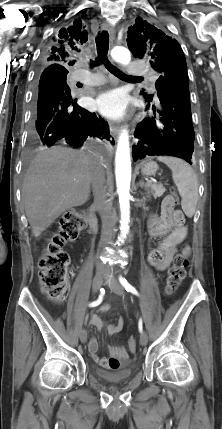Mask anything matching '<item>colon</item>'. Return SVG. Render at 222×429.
I'll return each instance as SVG.
<instances>
[{
  "label": "colon",
  "instance_id": "5ec220e1",
  "mask_svg": "<svg viewBox=\"0 0 222 429\" xmlns=\"http://www.w3.org/2000/svg\"><path fill=\"white\" fill-rule=\"evenodd\" d=\"M178 202L177 194L167 196L164 200L166 204L175 205ZM85 223L86 218L83 212L78 210L65 212L61 217L57 232L48 242L38 261L41 290L52 302H63L68 296L69 256L62 248L67 242L78 237ZM188 264V258L183 252L175 256L166 279L165 292L168 295H172L180 286L186 276ZM127 344L131 351L136 349L137 342L134 337H130Z\"/></svg>",
  "mask_w": 222,
  "mask_h": 429
}]
</instances>
